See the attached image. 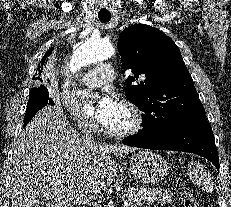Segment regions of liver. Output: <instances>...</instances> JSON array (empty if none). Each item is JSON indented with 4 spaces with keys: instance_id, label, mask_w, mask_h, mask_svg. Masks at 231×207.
Wrapping results in <instances>:
<instances>
[{
    "instance_id": "liver-1",
    "label": "liver",
    "mask_w": 231,
    "mask_h": 207,
    "mask_svg": "<svg viewBox=\"0 0 231 207\" xmlns=\"http://www.w3.org/2000/svg\"><path fill=\"white\" fill-rule=\"evenodd\" d=\"M11 159L12 207H78L105 190L125 145L86 146L61 108L47 105L29 122Z\"/></svg>"
}]
</instances>
